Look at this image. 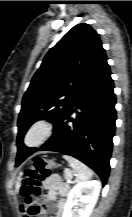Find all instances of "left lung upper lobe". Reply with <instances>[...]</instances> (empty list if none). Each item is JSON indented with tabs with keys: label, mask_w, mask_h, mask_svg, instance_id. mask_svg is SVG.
<instances>
[{
	"label": "left lung upper lobe",
	"mask_w": 132,
	"mask_h": 217,
	"mask_svg": "<svg viewBox=\"0 0 132 217\" xmlns=\"http://www.w3.org/2000/svg\"><path fill=\"white\" fill-rule=\"evenodd\" d=\"M106 60L99 34L90 25L81 23L70 29L46 54L23 96L17 140L40 119L53 123L55 129ZM24 147L28 153L36 149Z\"/></svg>",
	"instance_id": "left-lung-upper-lobe-1"
}]
</instances>
